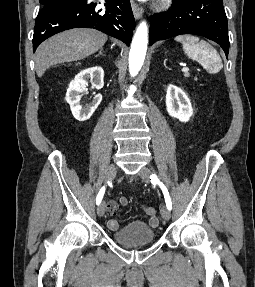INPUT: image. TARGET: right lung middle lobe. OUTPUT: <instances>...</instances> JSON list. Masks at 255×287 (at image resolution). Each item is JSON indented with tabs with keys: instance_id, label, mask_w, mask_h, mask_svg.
<instances>
[{
	"instance_id": "obj_1",
	"label": "right lung middle lobe",
	"mask_w": 255,
	"mask_h": 287,
	"mask_svg": "<svg viewBox=\"0 0 255 287\" xmlns=\"http://www.w3.org/2000/svg\"><path fill=\"white\" fill-rule=\"evenodd\" d=\"M39 1L42 4V7H46L58 3L79 2L83 0H39Z\"/></svg>"
}]
</instances>
